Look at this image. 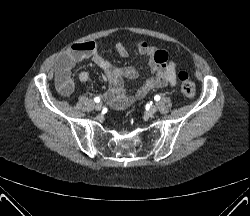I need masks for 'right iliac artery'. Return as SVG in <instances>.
<instances>
[{
	"label": "right iliac artery",
	"instance_id": "obj_1",
	"mask_svg": "<svg viewBox=\"0 0 250 216\" xmlns=\"http://www.w3.org/2000/svg\"><path fill=\"white\" fill-rule=\"evenodd\" d=\"M94 101H95L96 103H99V102H100V98H99V97H95V98H94Z\"/></svg>",
	"mask_w": 250,
	"mask_h": 216
}]
</instances>
